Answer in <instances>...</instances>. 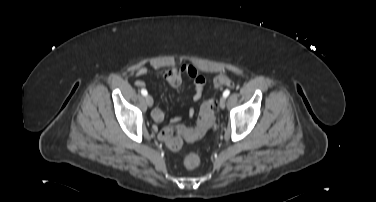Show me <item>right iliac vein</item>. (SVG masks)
I'll list each match as a JSON object with an SVG mask.
<instances>
[{"instance_id": "obj_1", "label": "right iliac vein", "mask_w": 376, "mask_h": 202, "mask_svg": "<svg viewBox=\"0 0 376 202\" xmlns=\"http://www.w3.org/2000/svg\"><path fill=\"white\" fill-rule=\"evenodd\" d=\"M145 101H146V104L149 106V107H152L153 105V98L150 96V95H147L145 97Z\"/></svg>"}]
</instances>
